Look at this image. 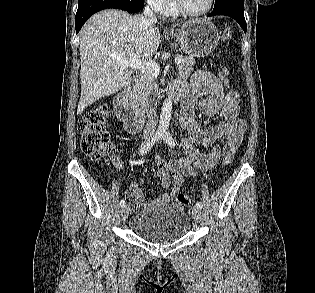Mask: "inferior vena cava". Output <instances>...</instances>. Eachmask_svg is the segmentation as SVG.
I'll use <instances>...</instances> for the list:
<instances>
[{
    "instance_id": "inferior-vena-cava-1",
    "label": "inferior vena cava",
    "mask_w": 315,
    "mask_h": 293,
    "mask_svg": "<svg viewBox=\"0 0 315 293\" xmlns=\"http://www.w3.org/2000/svg\"><path fill=\"white\" fill-rule=\"evenodd\" d=\"M144 16L148 18L150 24H154L157 22L156 16L153 14L151 9L146 6L144 9ZM156 110L155 108L151 109L148 114V121L146 123V127L144 129V134L154 135L156 129Z\"/></svg>"
}]
</instances>
